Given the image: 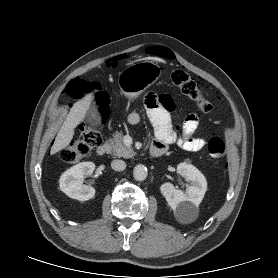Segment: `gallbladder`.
Masks as SVG:
<instances>
[{
  "instance_id": "gallbladder-1",
  "label": "gallbladder",
  "mask_w": 278,
  "mask_h": 278,
  "mask_svg": "<svg viewBox=\"0 0 278 278\" xmlns=\"http://www.w3.org/2000/svg\"><path fill=\"white\" fill-rule=\"evenodd\" d=\"M100 119H101V116H100L98 106L96 104L92 103L87 112L86 121L92 127H97L100 125Z\"/></svg>"
}]
</instances>
